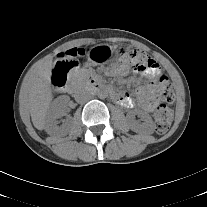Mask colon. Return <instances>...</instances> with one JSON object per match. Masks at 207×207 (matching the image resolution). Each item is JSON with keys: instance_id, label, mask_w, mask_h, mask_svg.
I'll return each instance as SVG.
<instances>
[{"instance_id": "obj_1", "label": "colon", "mask_w": 207, "mask_h": 207, "mask_svg": "<svg viewBox=\"0 0 207 207\" xmlns=\"http://www.w3.org/2000/svg\"><path fill=\"white\" fill-rule=\"evenodd\" d=\"M91 52L86 48H73L60 54V59L64 64L70 65L77 59L85 58ZM118 55L123 60H129V65L133 69H139L149 76H156L160 72L159 63L137 50L121 48ZM67 68H58L53 72V78L57 82H64L66 78ZM160 89L158 92V104L155 109L156 130L159 134L166 133L172 123L173 111L167 105L174 100L175 94L171 83L164 75L159 77Z\"/></svg>"}]
</instances>
